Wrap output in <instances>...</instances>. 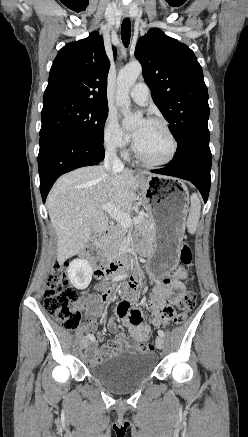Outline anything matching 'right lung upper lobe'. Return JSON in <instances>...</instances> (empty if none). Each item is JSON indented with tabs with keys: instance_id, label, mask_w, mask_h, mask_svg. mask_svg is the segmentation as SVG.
Masks as SVG:
<instances>
[{
	"instance_id": "right-lung-upper-lobe-1",
	"label": "right lung upper lobe",
	"mask_w": 248,
	"mask_h": 437,
	"mask_svg": "<svg viewBox=\"0 0 248 437\" xmlns=\"http://www.w3.org/2000/svg\"><path fill=\"white\" fill-rule=\"evenodd\" d=\"M113 51L115 54L116 49ZM109 67L103 39L97 32L86 39L68 43L53 61L44 99L63 97L108 106Z\"/></svg>"
}]
</instances>
